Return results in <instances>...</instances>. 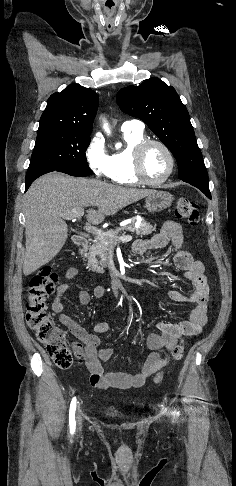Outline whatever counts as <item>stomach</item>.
<instances>
[{"label": "stomach", "mask_w": 236, "mask_h": 486, "mask_svg": "<svg viewBox=\"0 0 236 486\" xmlns=\"http://www.w3.org/2000/svg\"><path fill=\"white\" fill-rule=\"evenodd\" d=\"M173 202V196L166 191L155 190L145 200V207L149 212H160L167 209Z\"/></svg>", "instance_id": "0dacf381"}]
</instances>
